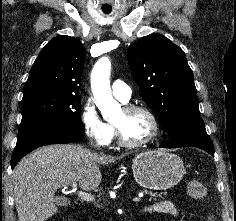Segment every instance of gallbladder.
<instances>
[{
	"instance_id": "bac80fb5",
	"label": "gallbladder",
	"mask_w": 236,
	"mask_h": 221,
	"mask_svg": "<svg viewBox=\"0 0 236 221\" xmlns=\"http://www.w3.org/2000/svg\"><path fill=\"white\" fill-rule=\"evenodd\" d=\"M56 203H57L58 205H62V204H63V198H62V197H57V198H56Z\"/></svg>"
}]
</instances>
